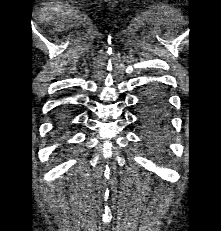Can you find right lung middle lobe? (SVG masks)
Returning <instances> with one entry per match:
<instances>
[{"instance_id":"1","label":"right lung middle lobe","mask_w":221,"mask_h":231,"mask_svg":"<svg viewBox=\"0 0 221 231\" xmlns=\"http://www.w3.org/2000/svg\"><path fill=\"white\" fill-rule=\"evenodd\" d=\"M65 120H66V117L63 116V115H61V116H60V125H61V126L65 125V123H64Z\"/></svg>"}]
</instances>
